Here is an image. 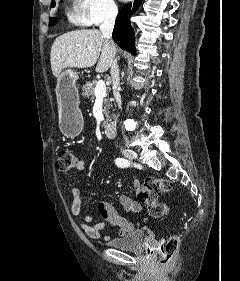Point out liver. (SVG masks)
<instances>
[{"mask_svg":"<svg viewBox=\"0 0 240 281\" xmlns=\"http://www.w3.org/2000/svg\"><path fill=\"white\" fill-rule=\"evenodd\" d=\"M116 54L114 43L108 42L97 29H81L57 37L50 52L51 69L59 77L65 68H88L96 63V72L110 68Z\"/></svg>","mask_w":240,"mask_h":281,"instance_id":"1","label":"liver"}]
</instances>
